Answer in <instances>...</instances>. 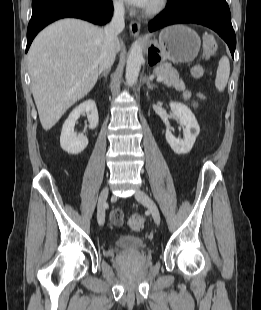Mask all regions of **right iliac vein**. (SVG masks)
Returning <instances> with one entry per match:
<instances>
[{"label":"right iliac vein","mask_w":261,"mask_h":310,"mask_svg":"<svg viewBox=\"0 0 261 310\" xmlns=\"http://www.w3.org/2000/svg\"><path fill=\"white\" fill-rule=\"evenodd\" d=\"M108 187H105L99 196L98 199V211H97V219L100 226H102L105 222V207H106V201L108 198Z\"/></svg>","instance_id":"obj_1"}]
</instances>
